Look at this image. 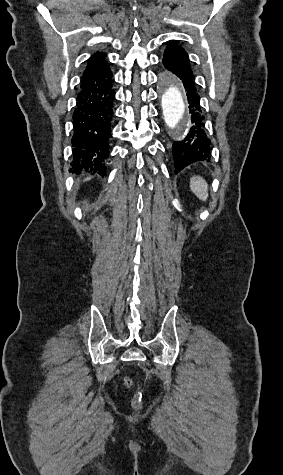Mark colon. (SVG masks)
<instances>
[{
    "label": "colon",
    "mask_w": 283,
    "mask_h": 475,
    "mask_svg": "<svg viewBox=\"0 0 283 475\" xmlns=\"http://www.w3.org/2000/svg\"><path fill=\"white\" fill-rule=\"evenodd\" d=\"M128 385H129L130 387H133V385H132L131 382H128ZM142 389H143L142 387L137 388V392L140 393V392L142 391ZM136 404H139V401H138V400L136 401Z\"/></svg>",
    "instance_id": "colon-1"
}]
</instances>
